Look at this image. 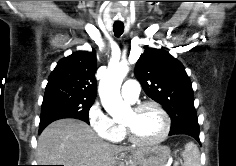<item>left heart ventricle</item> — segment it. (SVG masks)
I'll use <instances>...</instances> for the list:
<instances>
[{
	"label": "left heart ventricle",
	"instance_id": "left-heart-ventricle-1",
	"mask_svg": "<svg viewBox=\"0 0 236 166\" xmlns=\"http://www.w3.org/2000/svg\"><path fill=\"white\" fill-rule=\"evenodd\" d=\"M123 123L133 130L137 138L145 141L156 139L164 127L161 114L153 107H147L139 113L129 111Z\"/></svg>",
	"mask_w": 236,
	"mask_h": 166
}]
</instances>
